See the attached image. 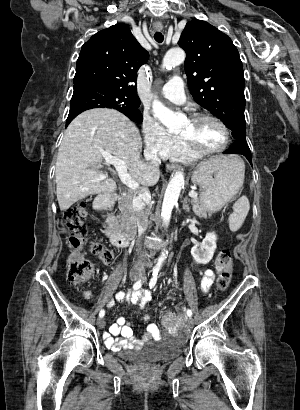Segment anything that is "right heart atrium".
Returning <instances> with one entry per match:
<instances>
[{"label":"right heart atrium","instance_id":"right-heart-atrium-1","mask_svg":"<svg viewBox=\"0 0 300 410\" xmlns=\"http://www.w3.org/2000/svg\"><path fill=\"white\" fill-rule=\"evenodd\" d=\"M142 134L146 152L160 158H166L178 141L156 120L148 116L143 117Z\"/></svg>","mask_w":300,"mask_h":410}]
</instances>
